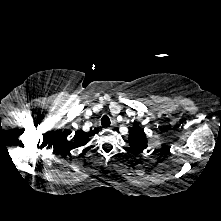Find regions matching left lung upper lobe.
<instances>
[{
  "label": "left lung upper lobe",
  "instance_id": "1",
  "mask_svg": "<svg viewBox=\"0 0 221 221\" xmlns=\"http://www.w3.org/2000/svg\"><path fill=\"white\" fill-rule=\"evenodd\" d=\"M129 145L134 151H143L147 148V138L142 129L135 125L129 134Z\"/></svg>",
  "mask_w": 221,
  "mask_h": 221
}]
</instances>
